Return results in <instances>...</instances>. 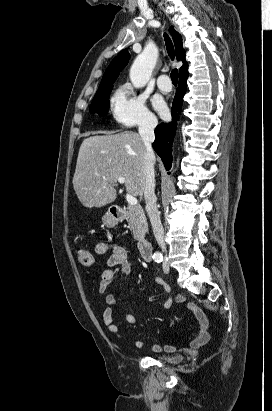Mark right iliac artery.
Returning <instances> with one entry per match:
<instances>
[{
    "label": "right iliac artery",
    "mask_w": 272,
    "mask_h": 411,
    "mask_svg": "<svg viewBox=\"0 0 272 411\" xmlns=\"http://www.w3.org/2000/svg\"><path fill=\"white\" fill-rule=\"evenodd\" d=\"M154 261L159 263V262L163 261V257L162 256H157V257L154 258Z\"/></svg>",
    "instance_id": "right-iliac-artery-1"
}]
</instances>
